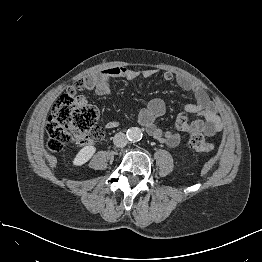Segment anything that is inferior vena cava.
<instances>
[{"instance_id":"obj_1","label":"inferior vena cava","mask_w":262,"mask_h":262,"mask_svg":"<svg viewBox=\"0 0 262 262\" xmlns=\"http://www.w3.org/2000/svg\"><path fill=\"white\" fill-rule=\"evenodd\" d=\"M113 142H114V145L116 147L123 148L127 145L128 139H127V136L124 133L119 132V133L115 134V136L113 138Z\"/></svg>"}]
</instances>
